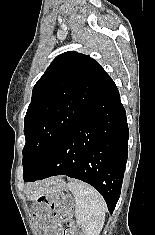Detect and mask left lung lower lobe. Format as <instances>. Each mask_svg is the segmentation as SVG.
<instances>
[{"mask_svg":"<svg viewBox=\"0 0 155 235\" xmlns=\"http://www.w3.org/2000/svg\"><path fill=\"white\" fill-rule=\"evenodd\" d=\"M126 112L112 81L92 108L66 134L41 169L25 182L67 175L92 185L113 213L127 162Z\"/></svg>","mask_w":155,"mask_h":235,"instance_id":"left-lung-lower-lobe-1","label":"left lung lower lobe"}]
</instances>
